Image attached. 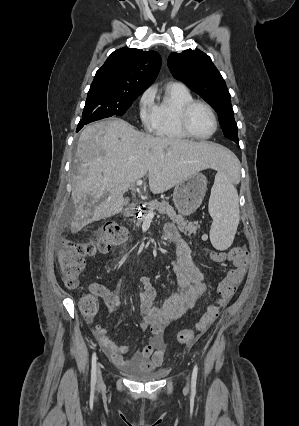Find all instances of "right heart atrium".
<instances>
[{
  "instance_id": "d8ad5b80",
  "label": "right heart atrium",
  "mask_w": 299,
  "mask_h": 426,
  "mask_svg": "<svg viewBox=\"0 0 299 426\" xmlns=\"http://www.w3.org/2000/svg\"><path fill=\"white\" fill-rule=\"evenodd\" d=\"M155 91L152 87L146 89L139 98L138 112L143 126L153 130L156 124Z\"/></svg>"
}]
</instances>
